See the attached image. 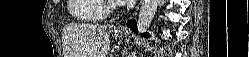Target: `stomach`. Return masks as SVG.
I'll use <instances>...</instances> for the list:
<instances>
[{"instance_id":"obj_1","label":"stomach","mask_w":249,"mask_h":57,"mask_svg":"<svg viewBox=\"0 0 249 57\" xmlns=\"http://www.w3.org/2000/svg\"><path fill=\"white\" fill-rule=\"evenodd\" d=\"M111 34H112V36L114 38L120 39V38L124 37L125 32L124 31H113V30H111Z\"/></svg>"}]
</instances>
